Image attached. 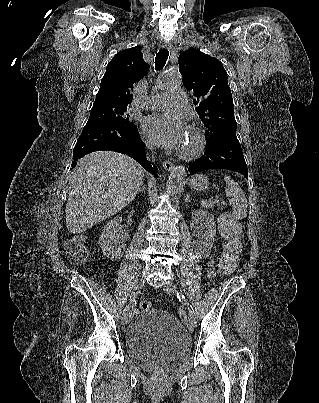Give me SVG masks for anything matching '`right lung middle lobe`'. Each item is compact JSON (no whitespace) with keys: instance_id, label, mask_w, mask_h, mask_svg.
I'll list each match as a JSON object with an SVG mask.
<instances>
[{"instance_id":"1","label":"right lung middle lobe","mask_w":319,"mask_h":403,"mask_svg":"<svg viewBox=\"0 0 319 403\" xmlns=\"http://www.w3.org/2000/svg\"><path fill=\"white\" fill-rule=\"evenodd\" d=\"M127 108L128 105L94 102L86 125L108 123L135 127L136 125L129 121V115L126 114Z\"/></svg>"}]
</instances>
